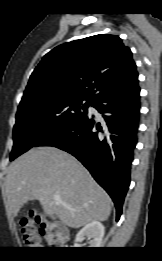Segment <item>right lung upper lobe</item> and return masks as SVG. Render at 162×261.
Segmentation results:
<instances>
[{
    "label": "right lung upper lobe",
    "instance_id": "1",
    "mask_svg": "<svg viewBox=\"0 0 162 261\" xmlns=\"http://www.w3.org/2000/svg\"><path fill=\"white\" fill-rule=\"evenodd\" d=\"M138 85L132 52L116 35L99 34L57 46L30 76L24 101L72 95L95 101Z\"/></svg>",
    "mask_w": 162,
    "mask_h": 261
}]
</instances>
